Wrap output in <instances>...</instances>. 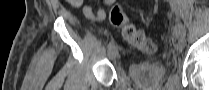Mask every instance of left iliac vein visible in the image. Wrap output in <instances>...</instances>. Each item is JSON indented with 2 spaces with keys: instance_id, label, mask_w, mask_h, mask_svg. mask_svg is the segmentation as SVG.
Instances as JSON below:
<instances>
[{
  "instance_id": "4c4485c4",
  "label": "left iliac vein",
  "mask_w": 209,
  "mask_h": 90,
  "mask_svg": "<svg viewBox=\"0 0 209 90\" xmlns=\"http://www.w3.org/2000/svg\"><path fill=\"white\" fill-rule=\"evenodd\" d=\"M180 24H182V21H175V29H173L172 35L174 36V39H181V32ZM179 48H181V44H179Z\"/></svg>"
}]
</instances>
